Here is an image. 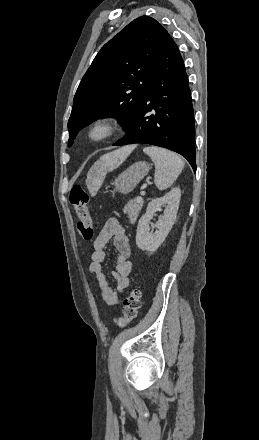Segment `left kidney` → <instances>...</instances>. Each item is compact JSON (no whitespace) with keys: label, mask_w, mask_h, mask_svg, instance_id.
Instances as JSON below:
<instances>
[{"label":"left kidney","mask_w":259,"mask_h":440,"mask_svg":"<svg viewBox=\"0 0 259 440\" xmlns=\"http://www.w3.org/2000/svg\"><path fill=\"white\" fill-rule=\"evenodd\" d=\"M181 190L176 187L165 194L163 197L155 198L146 208V213L139 219L136 244L139 249L153 253L158 249L172 229L179 208ZM165 206L164 214L160 217L156 224H151L150 220L161 207ZM151 224V226H150ZM155 227L157 230L152 233L150 228Z\"/></svg>","instance_id":"1"}]
</instances>
